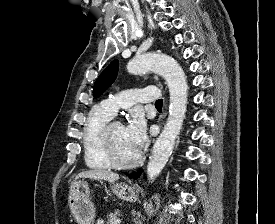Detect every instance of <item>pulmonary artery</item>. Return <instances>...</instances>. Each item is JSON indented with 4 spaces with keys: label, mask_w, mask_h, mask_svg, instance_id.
I'll use <instances>...</instances> for the list:
<instances>
[{
    "label": "pulmonary artery",
    "mask_w": 275,
    "mask_h": 224,
    "mask_svg": "<svg viewBox=\"0 0 275 224\" xmlns=\"http://www.w3.org/2000/svg\"><path fill=\"white\" fill-rule=\"evenodd\" d=\"M160 91L156 87L128 89L116 93L103 100L100 106L110 115H114L119 108H126L135 103H145L158 100Z\"/></svg>",
    "instance_id": "obj_1"
}]
</instances>
